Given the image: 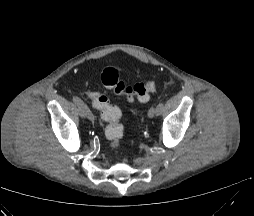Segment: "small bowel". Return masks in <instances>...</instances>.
Here are the masks:
<instances>
[{
    "instance_id": "small-bowel-1",
    "label": "small bowel",
    "mask_w": 254,
    "mask_h": 216,
    "mask_svg": "<svg viewBox=\"0 0 254 216\" xmlns=\"http://www.w3.org/2000/svg\"><path fill=\"white\" fill-rule=\"evenodd\" d=\"M89 96H90V98L92 99V101H93V105H94V107L96 108V109H98L96 106H95V103H94V100H93V98H92V96H91V93L89 94ZM99 110V109H98Z\"/></svg>"
}]
</instances>
